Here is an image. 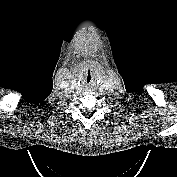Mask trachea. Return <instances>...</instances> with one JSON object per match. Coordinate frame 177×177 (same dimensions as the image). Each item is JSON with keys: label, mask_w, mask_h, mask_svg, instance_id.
<instances>
[{"label": "trachea", "mask_w": 177, "mask_h": 177, "mask_svg": "<svg viewBox=\"0 0 177 177\" xmlns=\"http://www.w3.org/2000/svg\"><path fill=\"white\" fill-rule=\"evenodd\" d=\"M87 80H88V81L91 80V76H90V74H88V76H87Z\"/></svg>", "instance_id": "1"}]
</instances>
